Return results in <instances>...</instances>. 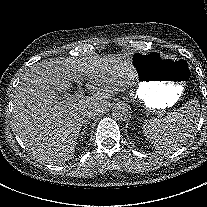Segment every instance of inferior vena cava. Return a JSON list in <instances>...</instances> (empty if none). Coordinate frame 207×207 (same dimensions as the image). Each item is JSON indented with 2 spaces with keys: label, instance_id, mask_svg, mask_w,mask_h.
Returning <instances> with one entry per match:
<instances>
[{
  "label": "inferior vena cava",
  "instance_id": "1",
  "mask_svg": "<svg viewBox=\"0 0 207 207\" xmlns=\"http://www.w3.org/2000/svg\"><path fill=\"white\" fill-rule=\"evenodd\" d=\"M96 113H99V112H98V110H96V108H95V114H96ZM87 115H89V111L87 112ZM82 123H83V120H82Z\"/></svg>",
  "mask_w": 207,
  "mask_h": 207
}]
</instances>
